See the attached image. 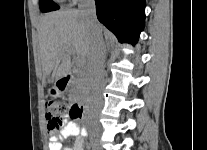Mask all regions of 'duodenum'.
Returning a JSON list of instances; mask_svg holds the SVG:
<instances>
[{
    "label": "duodenum",
    "instance_id": "duodenum-1",
    "mask_svg": "<svg viewBox=\"0 0 207 150\" xmlns=\"http://www.w3.org/2000/svg\"><path fill=\"white\" fill-rule=\"evenodd\" d=\"M70 80H71V75L66 74L60 78L59 83L62 87H66L70 83ZM75 108L79 112L81 117H86L88 115V110L86 107L82 105H77Z\"/></svg>",
    "mask_w": 207,
    "mask_h": 150
}]
</instances>
